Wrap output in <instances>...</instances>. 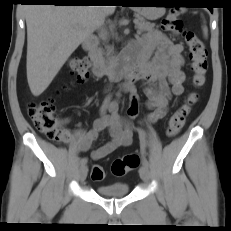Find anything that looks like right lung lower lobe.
Listing matches in <instances>:
<instances>
[{
    "label": "right lung lower lobe",
    "mask_w": 231,
    "mask_h": 231,
    "mask_svg": "<svg viewBox=\"0 0 231 231\" xmlns=\"http://www.w3.org/2000/svg\"><path fill=\"white\" fill-rule=\"evenodd\" d=\"M28 3H50L54 5H85L83 0H24Z\"/></svg>",
    "instance_id": "98d812e1"
}]
</instances>
